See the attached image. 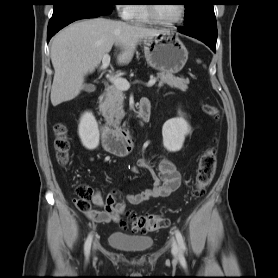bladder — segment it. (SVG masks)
Here are the masks:
<instances>
[{
    "label": "bladder",
    "instance_id": "bladder-1",
    "mask_svg": "<svg viewBox=\"0 0 278 278\" xmlns=\"http://www.w3.org/2000/svg\"><path fill=\"white\" fill-rule=\"evenodd\" d=\"M108 244L115 249L126 252H144L153 245V239L146 235H129L123 232H112Z\"/></svg>",
    "mask_w": 278,
    "mask_h": 278
}]
</instances>
